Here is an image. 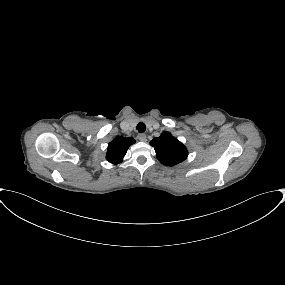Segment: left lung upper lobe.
<instances>
[{"label": "left lung upper lobe", "mask_w": 285, "mask_h": 285, "mask_svg": "<svg viewBox=\"0 0 285 285\" xmlns=\"http://www.w3.org/2000/svg\"><path fill=\"white\" fill-rule=\"evenodd\" d=\"M150 145L154 147L158 160L167 166L181 163L188 155L186 147L169 132H164L161 136L154 138Z\"/></svg>", "instance_id": "obj_1"}]
</instances>
